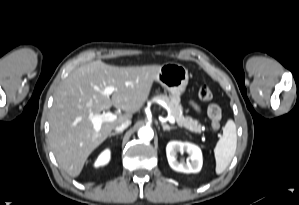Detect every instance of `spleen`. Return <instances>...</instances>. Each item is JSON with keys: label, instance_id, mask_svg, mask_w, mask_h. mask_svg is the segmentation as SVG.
I'll list each match as a JSON object with an SVG mask.
<instances>
[{"label": "spleen", "instance_id": "3e777b00", "mask_svg": "<svg viewBox=\"0 0 299 205\" xmlns=\"http://www.w3.org/2000/svg\"><path fill=\"white\" fill-rule=\"evenodd\" d=\"M237 147L236 125L233 120H228L223 128V136L219 139L214 148L216 160V174H221L233 159Z\"/></svg>", "mask_w": 299, "mask_h": 205}]
</instances>
